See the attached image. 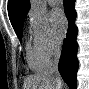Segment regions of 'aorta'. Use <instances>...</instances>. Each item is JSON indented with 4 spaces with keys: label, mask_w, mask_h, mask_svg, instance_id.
Returning <instances> with one entry per match:
<instances>
[{
    "label": "aorta",
    "mask_w": 89,
    "mask_h": 89,
    "mask_svg": "<svg viewBox=\"0 0 89 89\" xmlns=\"http://www.w3.org/2000/svg\"><path fill=\"white\" fill-rule=\"evenodd\" d=\"M31 8L40 14H44L46 12L47 6L45 0H31Z\"/></svg>",
    "instance_id": "762f6f07"
}]
</instances>
